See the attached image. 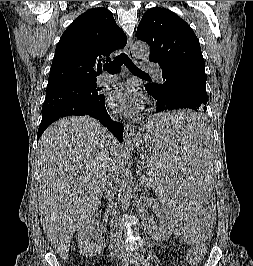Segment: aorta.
Returning a JSON list of instances; mask_svg holds the SVG:
<instances>
[{"mask_svg":"<svg viewBox=\"0 0 253 266\" xmlns=\"http://www.w3.org/2000/svg\"><path fill=\"white\" fill-rule=\"evenodd\" d=\"M134 57L142 60H147L150 55V48L145 42H137L133 47ZM118 186V201L123 210H126L132 198L134 190V181L130 168L123 165Z\"/></svg>","mask_w":253,"mask_h":266,"instance_id":"762f6f07","label":"aorta"}]
</instances>
